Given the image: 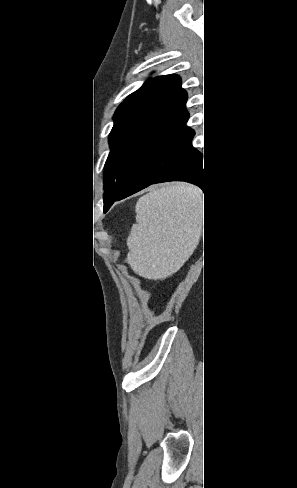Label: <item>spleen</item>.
I'll return each instance as SVG.
<instances>
[{"label":"spleen","mask_w":297,"mask_h":488,"mask_svg":"<svg viewBox=\"0 0 297 488\" xmlns=\"http://www.w3.org/2000/svg\"><path fill=\"white\" fill-rule=\"evenodd\" d=\"M201 192L177 183L161 186L136 204V224L127 239V262L138 275L163 279L176 272L196 246Z\"/></svg>","instance_id":"spleen-1"}]
</instances>
